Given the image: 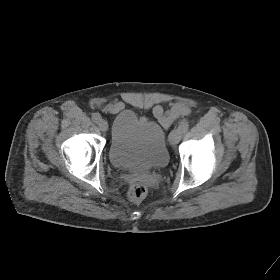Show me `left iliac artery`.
<instances>
[{
	"label": "left iliac artery",
	"mask_w": 280,
	"mask_h": 280,
	"mask_svg": "<svg viewBox=\"0 0 280 280\" xmlns=\"http://www.w3.org/2000/svg\"><path fill=\"white\" fill-rule=\"evenodd\" d=\"M178 129L182 132V133H186L189 129V123L187 121H182L178 127Z\"/></svg>",
	"instance_id": "left-iliac-artery-1"
}]
</instances>
